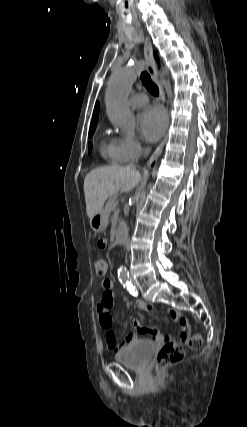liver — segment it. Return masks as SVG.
Instances as JSON below:
<instances>
[{"label": "liver", "instance_id": "obj_1", "mask_svg": "<svg viewBox=\"0 0 247 427\" xmlns=\"http://www.w3.org/2000/svg\"><path fill=\"white\" fill-rule=\"evenodd\" d=\"M141 180L135 166H106L90 171L84 179L87 216L99 213L108 197L131 191Z\"/></svg>", "mask_w": 247, "mask_h": 427}]
</instances>
